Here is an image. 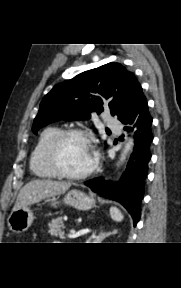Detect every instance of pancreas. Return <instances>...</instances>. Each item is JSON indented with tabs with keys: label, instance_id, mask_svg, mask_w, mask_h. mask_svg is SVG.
<instances>
[{
	"label": "pancreas",
	"instance_id": "1",
	"mask_svg": "<svg viewBox=\"0 0 181 288\" xmlns=\"http://www.w3.org/2000/svg\"><path fill=\"white\" fill-rule=\"evenodd\" d=\"M48 227L50 235L59 237L60 239H65L62 232V229L65 228L62 217H57L56 219H53L51 223L48 224Z\"/></svg>",
	"mask_w": 181,
	"mask_h": 288
}]
</instances>
